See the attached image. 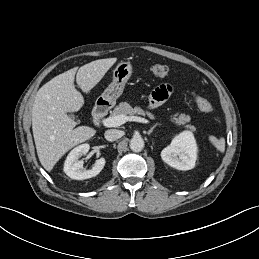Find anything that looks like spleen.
Here are the masks:
<instances>
[{"instance_id": "3e777b00", "label": "spleen", "mask_w": 259, "mask_h": 259, "mask_svg": "<svg viewBox=\"0 0 259 259\" xmlns=\"http://www.w3.org/2000/svg\"><path fill=\"white\" fill-rule=\"evenodd\" d=\"M213 144L220 152H224L225 139L223 137H221L219 140H217V139L213 140Z\"/></svg>"}]
</instances>
